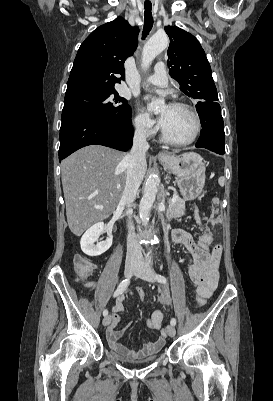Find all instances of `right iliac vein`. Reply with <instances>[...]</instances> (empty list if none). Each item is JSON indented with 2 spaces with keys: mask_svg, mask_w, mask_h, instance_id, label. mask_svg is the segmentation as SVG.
<instances>
[{
  "mask_svg": "<svg viewBox=\"0 0 273 401\" xmlns=\"http://www.w3.org/2000/svg\"><path fill=\"white\" fill-rule=\"evenodd\" d=\"M138 269L137 264H129L125 267V277L130 278L133 273ZM112 317L111 315L105 316L102 323L104 326H107L111 323Z\"/></svg>",
  "mask_w": 273,
  "mask_h": 401,
  "instance_id": "right-iliac-vein-1",
  "label": "right iliac vein"
}]
</instances>
